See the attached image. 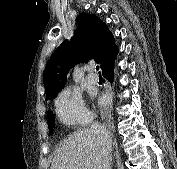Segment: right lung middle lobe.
<instances>
[{"mask_svg":"<svg viewBox=\"0 0 177 169\" xmlns=\"http://www.w3.org/2000/svg\"><path fill=\"white\" fill-rule=\"evenodd\" d=\"M47 115H48L49 132L50 134H52L53 128L55 127L54 116L51 114V112H48Z\"/></svg>","mask_w":177,"mask_h":169,"instance_id":"right-lung-middle-lobe-1","label":"right lung middle lobe"}]
</instances>
